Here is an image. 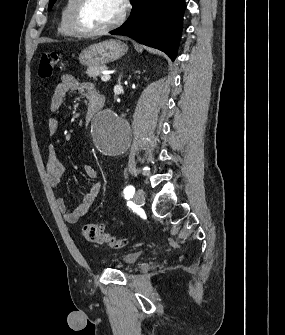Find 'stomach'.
Returning <instances> with one entry per match:
<instances>
[{"label":"stomach","instance_id":"0dacf381","mask_svg":"<svg viewBox=\"0 0 285 335\" xmlns=\"http://www.w3.org/2000/svg\"><path fill=\"white\" fill-rule=\"evenodd\" d=\"M128 50L127 44L120 40H105L84 48L79 54V62L83 66H105L122 58Z\"/></svg>","mask_w":285,"mask_h":335}]
</instances>
